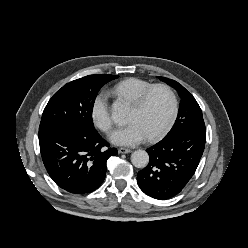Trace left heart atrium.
Wrapping results in <instances>:
<instances>
[{"label": "left heart atrium", "mask_w": 248, "mask_h": 248, "mask_svg": "<svg viewBox=\"0 0 248 248\" xmlns=\"http://www.w3.org/2000/svg\"><path fill=\"white\" fill-rule=\"evenodd\" d=\"M148 139L147 134L138 123L132 122L127 126L115 130L110 140L116 145L135 146Z\"/></svg>", "instance_id": "39dd6f15"}]
</instances>
